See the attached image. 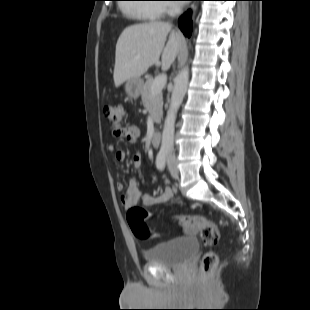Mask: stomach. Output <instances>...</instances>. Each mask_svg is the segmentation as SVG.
Here are the masks:
<instances>
[{
	"mask_svg": "<svg viewBox=\"0 0 310 310\" xmlns=\"http://www.w3.org/2000/svg\"><path fill=\"white\" fill-rule=\"evenodd\" d=\"M142 87L143 81L140 78H132L125 81V91L131 98H137Z\"/></svg>",
	"mask_w": 310,
	"mask_h": 310,
	"instance_id": "stomach-1",
	"label": "stomach"
}]
</instances>
